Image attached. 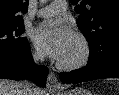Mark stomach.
<instances>
[{"mask_svg":"<svg viewBox=\"0 0 119 95\" xmlns=\"http://www.w3.org/2000/svg\"><path fill=\"white\" fill-rule=\"evenodd\" d=\"M56 95H92L89 91L84 90L82 88H75L73 90H67L62 92L61 94Z\"/></svg>","mask_w":119,"mask_h":95,"instance_id":"stomach-1","label":"stomach"}]
</instances>
